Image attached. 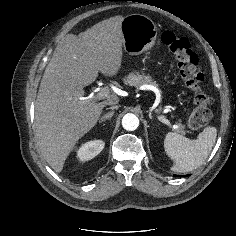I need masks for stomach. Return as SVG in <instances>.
I'll return each mask as SVG.
<instances>
[{"instance_id": "obj_1", "label": "stomach", "mask_w": 236, "mask_h": 236, "mask_svg": "<svg viewBox=\"0 0 236 236\" xmlns=\"http://www.w3.org/2000/svg\"><path fill=\"white\" fill-rule=\"evenodd\" d=\"M124 37L123 47L130 55H139L149 51L157 38V26L147 16L131 14L126 16L121 23Z\"/></svg>"}]
</instances>
